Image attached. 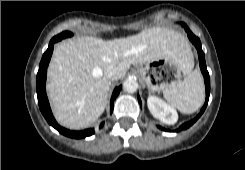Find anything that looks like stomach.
I'll return each instance as SVG.
<instances>
[{"label":"stomach","mask_w":245,"mask_h":170,"mask_svg":"<svg viewBox=\"0 0 245 170\" xmlns=\"http://www.w3.org/2000/svg\"><path fill=\"white\" fill-rule=\"evenodd\" d=\"M179 64L171 57H163L140 64L137 73L151 92H165L181 78Z\"/></svg>","instance_id":"0dacf381"}]
</instances>
